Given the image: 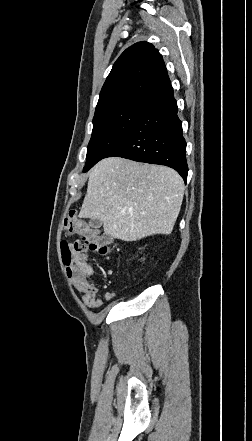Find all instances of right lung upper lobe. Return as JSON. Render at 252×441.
<instances>
[{"mask_svg": "<svg viewBox=\"0 0 252 441\" xmlns=\"http://www.w3.org/2000/svg\"><path fill=\"white\" fill-rule=\"evenodd\" d=\"M170 83L161 54L148 42L127 48L114 63L95 113L124 102L146 99Z\"/></svg>", "mask_w": 252, "mask_h": 441, "instance_id": "right-lung-upper-lobe-1", "label": "right lung upper lobe"}]
</instances>
